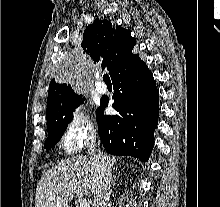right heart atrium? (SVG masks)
<instances>
[{"instance_id":"1","label":"right heart atrium","mask_w":220,"mask_h":207,"mask_svg":"<svg viewBox=\"0 0 220 207\" xmlns=\"http://www.w3.org/2000/svg\"><path fill=\"white\" fill-rule=\"evenodd\" d=\"M96 128L89 116L81 111H73L64 125L60 144L66 152H76L95 139Z\"/></svg>"}]
</instances>
